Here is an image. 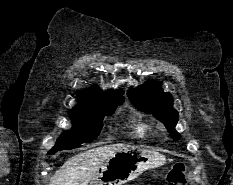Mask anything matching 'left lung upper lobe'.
Here are the masks:
<instances>
[{"instance_id":"left-lung-upper-lobe-1","label":"left lung upper lobe","mask_w":233,"mask_h":185,"mask_svg":"<svg viewBox=\"0 0 233 185\" xmlns=\"http://www.w3.org/2000/svg\"><path fill=\"white\" fill-rule=\"evenodd\" d=\"M127 95L136 108L153 114L164 123L174 139H179L175 130L179 116L172 107V96L161 90L157 82L149 81L142 87L130 89Z\"/></svg>"}]
</instances>
